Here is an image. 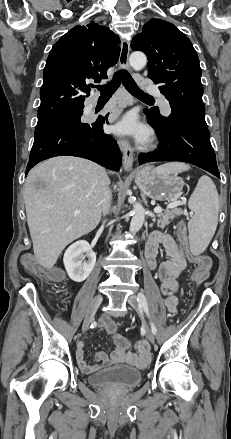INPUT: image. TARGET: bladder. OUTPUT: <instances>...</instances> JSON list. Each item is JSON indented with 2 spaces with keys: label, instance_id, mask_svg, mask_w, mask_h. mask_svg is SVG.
<instances>
[{
  "label": "bladder",
  "instance_id": "31cf9c89",
  "mask_svg": "<svg viewBox=\"0 0 231 439\" xmlns=\"http://www.w3.org/2000/svg\"><path fill=\"white\" fill-rule=\"evenodd\" d=\"M89 384L96 387L128 390L142 381V373L137 368L119 365L96 372L87 378Z\"/></svg>",
  "mask_w": 231,
  "mask_h": 439
}]
</instances>
